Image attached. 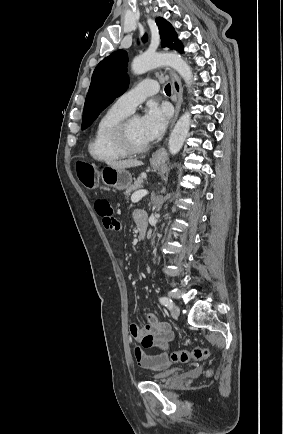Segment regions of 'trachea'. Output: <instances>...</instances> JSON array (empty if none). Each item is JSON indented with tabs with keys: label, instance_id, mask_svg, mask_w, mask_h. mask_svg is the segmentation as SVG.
Masks as SVG:
<instances>
[{
	"label": "trachea",
	"instance_id": "3493384b",
	"mask_svg": "<svg viewBox=\"0 0 283 434\" xmlns=\"http://www.w3.org/2000/svg\"><path fill=\"white\" fill-rule=\"evenodd\" d=\"M165 93L168 94V95L171 94V86H170V84H167V85L165 86Z\"/></svg>",
	"mask_w": 283,
	"mask_h": 434
}]
</instances>
